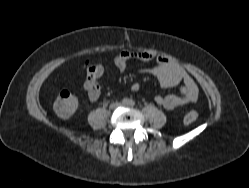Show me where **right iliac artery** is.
<instances>
[{
    "mask_svg": "<svg viewBox=\"0 0 249 188\" xmlns=\"http://www.w3.org/2000/svg\"><path fill=\"white\" fill-rule=\"evenodd\" d=\"M123 104H127V101H126V100H124V101H123Z\"/></svg>",
    "mask_w": 249,
    "mask_h": 188,
    "instance_id": "right-iliac-artery-1",
    "label": "right iliac artery"
}]
</instances>
